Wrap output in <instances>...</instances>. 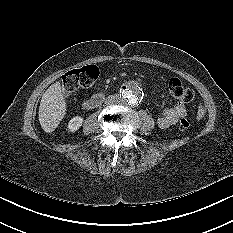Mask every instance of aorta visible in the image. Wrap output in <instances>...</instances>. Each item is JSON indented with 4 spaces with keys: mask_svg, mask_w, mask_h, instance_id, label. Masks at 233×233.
<instances>
[{
    "mask_svg": "<svg viewBox=\"0 0 233 233\" xmlns=\"http://www.w3.org/2000/svg\"><path fill=\"white\" fill-rule=\"evenodd\" d=\"M143 96L142 87L137 82H130L121 92V99L124 104L136 106Z\"/></svg>",
    "mask_w": 233,
    "mask_h": 233,
    "instance_id": "762f6f07",
    "label": "aorta"
}]
</instances>
